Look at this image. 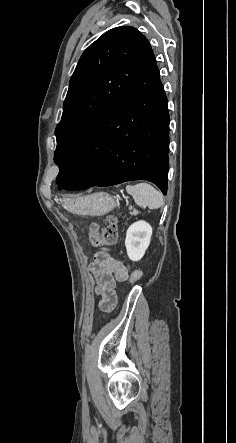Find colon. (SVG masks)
<instances>
[{
    "label": "colon",
    "mask_w": 236,
    "mask_h": 443,
    "mask_svg": "<svg viewBox=\"0 0 236 443\" xmlns=\"http://www.w3.org/2000/svg\"><path fill=\"white\" fill-rule=\"evenodd\" d=\"M118 235V220L114 215L106 218V227L101 229L98 224L92 223L89 227L88 237L93 247L99 245H112L116 242ZM142 277V272L136 270L131 275V282H135Z\"/></svg>",
    "instance_id": "obj_1"
}]
</instances>
